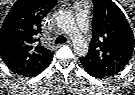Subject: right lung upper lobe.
<instances>
[{"mask_svg": "<svg viewBox=\"0 0 135 95\" xmlns=\"http://www.w3.org/2000/svg\"><path fill=\"white\" fill-rule=\"evenodd\" d=\"M40 13L17 10L7 17L0 30V55L16 72L37 73L51 60L40 43Z\"/></svg>", "mask_w": 135, "mask_h": 95, "instance_id": "right-lung-upper-lobe-1", "label": "right lung upper lobe"}]
</instances>
